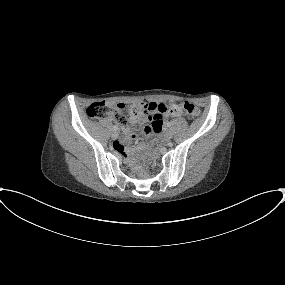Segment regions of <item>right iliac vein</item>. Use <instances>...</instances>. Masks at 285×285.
<instances>
[{
	"mask_svg": "<svg viewBox=\"0 0 285 285\" xmlns=\"http://www.w3.org/2000/svg\"><path fill=\"white\" fill-rule=\"evenodd\" d=\"M112 138L117 139L118 138V133L116 131L112 132Z\"/></svg>",
	"mask_w": 285,
	"mask_h": 285,
	"instance_id": "right-iliac-vein-1",
	"label": "right iliac vein"
}]
</instances>
